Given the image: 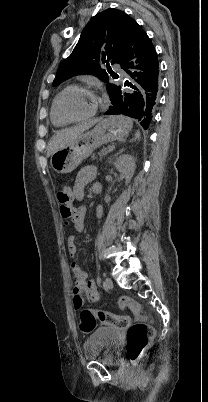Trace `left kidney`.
<instances>
[{
    "label": "left kidney",
    "mask_w": 208,
    "mask_h": 402,
    "mask_svg": "<svg viewBox=\"0 0 208 402\" xmlns=\"http://www.w3.org/2000/svg\"><path fill=\"white\" fill-rule=\"evenodd\" d=\"M113 164L118 172L125 174L126 184H129L135 172V160L133 156H129V154H122V156L116 158V162H113Z\"/></svg>",
    "instance_id": "1"
}]
</instances>
